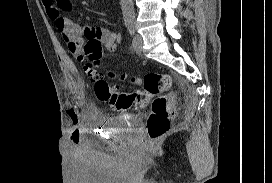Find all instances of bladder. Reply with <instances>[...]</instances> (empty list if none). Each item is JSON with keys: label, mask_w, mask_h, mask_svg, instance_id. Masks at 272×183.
Here are the masks:
<instances>
[{"label": "bladder", "mask_w": 272, "mask_h": 183, "mask_svg": "<svg viewBox=\"0 0 272 183\" xmlns=\"http://www.w3.org/2000/svg\"><path fill=\"white\" fill-rule=\"evenodd\" d=\"M97 121L104 128L125 133H136L141 125V117L137 114L103 116Z\"/></svg>", "instance_id": "1"}]
</instances>
